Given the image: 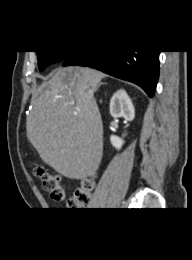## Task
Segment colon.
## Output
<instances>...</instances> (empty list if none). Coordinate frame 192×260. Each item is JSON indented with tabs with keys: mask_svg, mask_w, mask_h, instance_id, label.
Segmentation results:
<instances>
[{
	"mask_svg": "<svg viewBox=\"0 0 192 260\" xmlns=\"http://www.w3.org/2000/svg\"><path fill=\"white\" fill-rule=\"evenodd\" d=\"M33 173L41 180L43 189L50 194L53 200L61 201L65 198L66 189L62 185L58 175L50 172L41 165H33ZM93 188L94 181L92 178L83 180L69 200L68 206L72 209L88 206Z\"/></svg>",
	"mask_w": 192,
	"mask_h": 260,
	"instance_id": "1",
	"label": "colon"
}]
</instances>
